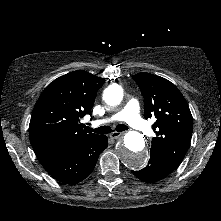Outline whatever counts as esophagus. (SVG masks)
<instances>
[{"label": "esophagus", "instance_id": "obj_1", "mask_svg": "<svg viewBox=\"0 0 221 221\" xmlns=\"http://www.w3.org/2000/svg\"><path fill=\"white\" fill-rule=\"evenodd\" d=\"M123 132H112L111 134H110V137H111V139H118V138H120L121 136H123Z\"/></svg>", "mask_w": 221, "mask_h": 221}]
</instances>
